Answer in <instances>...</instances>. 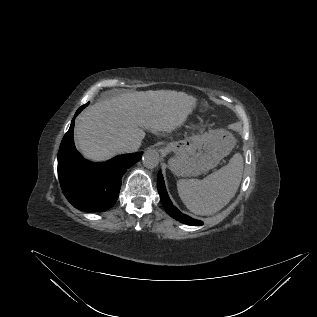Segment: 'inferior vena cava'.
Segmentation results:
<instances>
[{"instance_id":"1","label":"inferior vena cava","mask_w":317,"mask_h":317,"mask_svg":"<svg viewBox=\"0 0 317 317\" xmlns=\"http://www.w3.org/2000/svg\"><path fill=\"white\" fill-rule=\"evenodd\" d=\"M139 145L136 142H124L118 146V150L121 153H131L137 151Z\"/></svg>"}]
</instances>
